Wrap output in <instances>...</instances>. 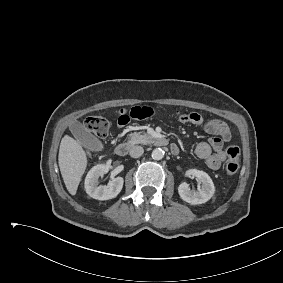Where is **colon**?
<instances>
[{
    "mask_svg": "<svg viewBox=\"0 0 283 283\" xmlns=\"http://www.w3.org/2000/svg\"><path fill=\"white\" fill-rule=\"evenodd\" d=\"M85 127L95 137L103 139L109 132L110 124L105 117L101 115H95L90 116L85 120ZM226 153V172L228 175H233L239 169L240 148L235 143H231L227 147Z\"/></svg>",
    "mask_w": 283,
    "mask_h": 283,
    "instance_id": "5ec220e1",
    "label": "colon"
}]
</instances>
